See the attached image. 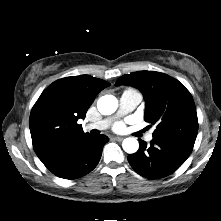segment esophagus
<instances>
[{
  "instance_id": "esophagus-1",
  "label": "esophagus",
  "mask_w": 221,
  "mask_h": 221,
  "mask_svg": "<svg viewBox=\"0 0 221 221\" xmlns=\"http://www.w3.org/2000/svg\"><path fill=\"white\" fill-rule=\"evenodd\" d=\"M113 139L116 141H122L123 137L115 136V137H113Z\"/></svg>"
}]
</instances>
